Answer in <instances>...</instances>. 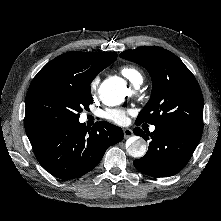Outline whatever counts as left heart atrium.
Returning a JSON list of instances; mask_svg holds the SVG:
<instances>
[{
    "label": "left heart atrium",
    "instance_id": "39dd6f15",
    "mask_svg": "<svg viewBox=\"0 0 221 221\" xmlns=\"http://www.w3.org/2000/svg\"><path fill=\"white\" fill-rule=\"evenodd\" d=\"M127 114L128 112L124 109L108 108L103 111L102 116L111 122L122 125L127 121Z\"/></svg>",
    "mask_w": 221,
    "mask_h": 221
}]
</instances>
